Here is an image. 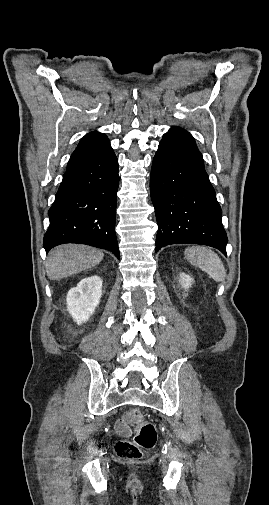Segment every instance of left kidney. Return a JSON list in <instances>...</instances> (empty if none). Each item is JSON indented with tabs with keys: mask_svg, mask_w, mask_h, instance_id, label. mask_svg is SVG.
I'll list each match as a JSON object with an SVG mask.
<instances>
[{
	"mask_svg": "<svg viewBox=\"0 0 269 505\" xmlns=\"http://www.w3.org/2000/svg\"><path fill=\"white\" fill-rule=\"evenodd\" d=\"M194 282V279L188 275V274H185L184 272H180L179 274V283L181 284L182 288L184 289V293H183V298H185L186 296H188V293H185V291L187 292L188 289L192 286Z\"/></svg>",
	"mask_w": 269,
	"mask_h": 505,
	"instance_id": "5707ae66",
	"label": "left kidney"
}]
</instances>
